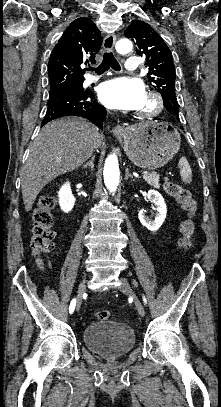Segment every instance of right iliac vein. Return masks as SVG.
<instances>
[{
    "instance_id": "obj_1",
    "label": "right iliac vein",
    "mask_w": 221,
    "mask_h": 407,
    "mask_svg": "<svg viewBox=\"0 0 221 407\" xmlns=\"http://www.w3.org/2000/svg\"><path fill=\"white\" fill-rule=\"evenodd\" d=\"M85 292H86V279L84 278L78 287L77 303H76L77 310H79L82 305V298H83V295Z\"/></svg>"
}]
</instances>
